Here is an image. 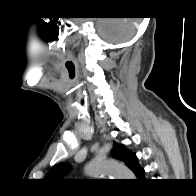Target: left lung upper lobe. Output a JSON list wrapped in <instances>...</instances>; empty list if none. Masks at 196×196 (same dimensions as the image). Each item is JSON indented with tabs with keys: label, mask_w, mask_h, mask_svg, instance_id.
<instances>
[{
	"label": "left lung upper lobe",
	"mask_w": 196,
	"mask_h": 196,
	"mask_svg": "<svg viewBox=\"0 0 196 196\" xmlns=\"http://www.w3.org/2000/svg\"><path fill=\"white\" fill-rule=\"evenodd\" d=\"M112 156L118 160L123 161L132 170L136 156L129 152L123 145H120L115 142L112 149ZM68 169V164H58L47 173L44 179L47 181L58 180V178L64 173H66Z\"/></svg>",
	"instance_id": "1"
}]
</instances>
